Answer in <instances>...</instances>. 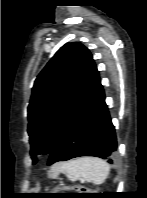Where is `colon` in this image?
Here are the masks:
<instances>
[{
	"instance_id": "obj_1",
	"label": "colon",
	"mask_w": 147,
	"mask_h": 198,
	"mask_svg": "<svg viewBox=\"0 0 147 198\" xmlns=\"http://www.w3.org/2000/svg\"><path fill=\"white\" fill-rule=\"evenodd\" d=\"M64 189H67V190H74L76 192H83L85 190H87L86 188H83V187H66Z\"/></svg>"
}]
</instances>
